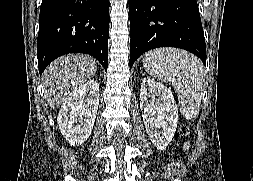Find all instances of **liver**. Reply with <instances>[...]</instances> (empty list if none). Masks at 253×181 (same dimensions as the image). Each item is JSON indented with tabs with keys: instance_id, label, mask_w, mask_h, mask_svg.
<instances>
[{
	"instance_id": "obj_1",
	"label": "liver",
	"mask_w": 253,
	"mask_h": 181,
	"mask_svg": "<svg viewBox=\"0 0 253 181\" xmlns=\"http://www.w3.org/2000/svg\"><path fill=\"white\" fill-rule=\"evenodd\" d=\"M97 71L89 55L71 54L55 60L43 74L49 105L59 107L73 90L88 82Z\"/></svg>"
}]
</instances>
